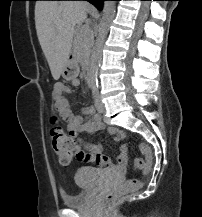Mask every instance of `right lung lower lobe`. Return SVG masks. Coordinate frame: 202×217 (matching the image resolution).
Segmentation results:
<instances>
[{"mask_svg": "<svg viewBox=\"0 0 202 217\" xmlns=\"http://www.w3.org/2000/svg\"><path fill=\"white\" fill-rule=\"evenodd\" d=\"M91 4H93L98 10L102 9L103 2L105 0H87Z\"/></svg>", "mask_w": 202, "mask_h": 217, "instance_id": "98d812e1", "label": "right lung lower lobe"}]
</instances>
